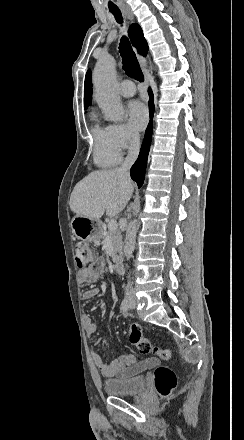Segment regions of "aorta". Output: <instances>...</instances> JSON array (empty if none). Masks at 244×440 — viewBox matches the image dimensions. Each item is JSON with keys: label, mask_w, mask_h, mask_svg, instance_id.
I'll list each match as a JSON object with an SVG mask.
<instances>
[{"label": "aorta", "mask_w": 244, "mask_h": 440, "mask_svg": "<svg viewBox=\"0 0 244 440\" xmlns=\"http://www.w3.org/2000/svg\"><path fill=\"white\" fill-rule=\"evenodd\" d=\"M95 99L101 108L104 118L108 121L119 122L124 118L123 105L118 93L115 61L112 57L101 58L93 72ZM137 233V221L129 222L124 241V254L127 260L132 257Z\"/></svg>", "instance_id": "1"}]
</instances>
